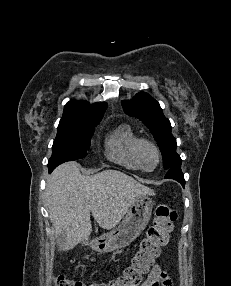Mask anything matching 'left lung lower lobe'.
Wrapping results in <instances>:
<instances>
[{
	"label": "left lung lower lobe",
	"mask_w": 231,
	"mask_h": 286,
	"mask_svg": "<svg viewBox=\"0 0 231 286\" xmlns=\"http://www.w3.org/2000/svg\"><path fill=\"white\" fill-rule=\"evenodd\" d=\"M165 178L174 179V180L178 181L179 183H181V185L183 187L185 186L184 176H183V173L181 171V164L177 165V166H173L172 168H170L167 171Z\"/></svg>",
	"instance_id": "1"
}]
</instances>
